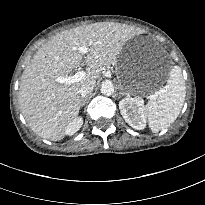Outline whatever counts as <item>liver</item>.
I'll use <instances>...</instances> for the list:
<instances>
[{"mask_svg": "<svg viewBox=\"0 0 205 205\" xmlns=\"http://www.w3.org/2000/svg\"><path fill=\"white\" fill-rule=\"evenodd\" d=\"M134 34V28L125 24L98 22L63 31L46 42L24 69L19 87L20 109L31 130L51 141L63 139L79 114L81 86L115 64ZM81 46L89 47L85 55L78 50ZM83 60L89 66L85 79L73 84L55 81Z\"/></svg>", "mask_w": 205, "mask_h": 205, "instance_id": "obj_1", "label": "liver"}]
</instances>
